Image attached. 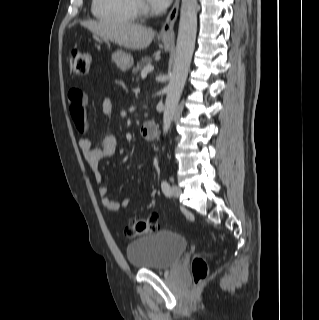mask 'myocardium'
<instances>
[{
  "mask_svg": "<svg viewBox=\"0 0 319 320\" xmlns=\"http://www.w3.org/2000/svg\"><path fill=\"white\" fill-rule=\"evenodd\" d=\"M135 7L137 13H139L142 16H147L151 13L148 5L146 4L145 0H134Z\"/></svg>",
  "mask_w": 319,
  "mask_h": 320,
  "instance_id": "myocardium-1",
  "label": "myocardium"
}]
</instances>
